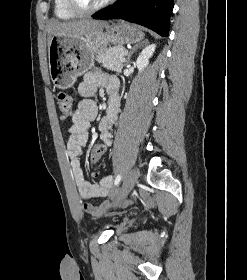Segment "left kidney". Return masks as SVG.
Returning a JSON list of instances; mask_svg holds the SVG:
<instances>
[{"label":"left kidney","instance_id":"1","mask_svg":"<svg viewBox=\"0 0 247 280\" xmlns=\"http://www.w3.org/2000/svg\"><path fill=\"white\" fill-rule=\"evenodd\" d=\"M156 45L151 44L145 47L140 55L138 56L136 60V66L139 70V72H142L147 65L149 64V59L152 57L154 51H155Z\"/></svg>","mask_w":247,"mask_h":280}]
</instances>
